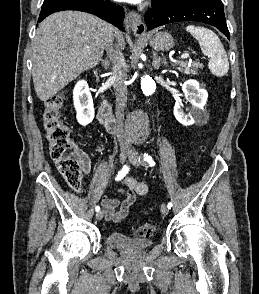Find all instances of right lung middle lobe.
I'll return each mask as SVG.
<instances>
[{
    "label": "right lung middle lobe",
    "instance_id": "right-lung-middle-lobe-1",
    "mask_svg": "<svg viewBox=\"0 0 259 294\" xmlns=\"http://www.w3.org/2000/svg\"><path fill=\"white\" fill-rule=\"evenodd\" d=\"M51 1H53V0H44L43 5L48 4V3H50Z\"/></svg>",
    "mask_w": 259,
    "mask_h": 294
}]
</instances>
